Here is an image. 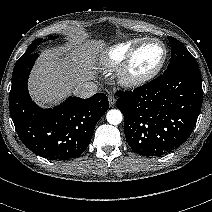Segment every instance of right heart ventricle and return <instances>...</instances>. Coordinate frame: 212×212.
<instances>
[{
  "label": "right heart ventricle",
  "mask_w": 212,
  "mask_h": 212,
  "mask_svg": "<svg viewBox=\"0 0 212 212\" xmlns=\"http://www.w3.org/2000/svg\"><path fill=\"white\" fill-rule=\"evenodd\" d=\"M138 42L139 40H131L110 47L101 57L102 67L105 69H111L121 65Z\"/></svg>",
  "instance_id": "e07e8e85"
}]
</instances>
